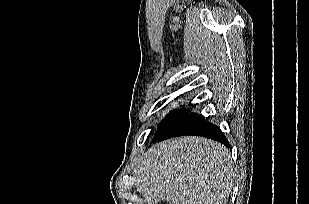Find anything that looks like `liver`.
<instances>
[{
	"instance_id": "liver-1",
	"label": "liver",
	"mask_w": 309,
	"mask_h": 204,
	"mask_svg": "<svg viewBox=\"0 0 309 204\" xmlns=\"http://www.w3.org/2000/svg\"><path fill=\"white\" fill-rule=\"evenodd\" d=\"M137 192L169 204H227L233 187L230 152L202 137H179L151 147L135 171Z\"/></svg>"
}]
</instances>
